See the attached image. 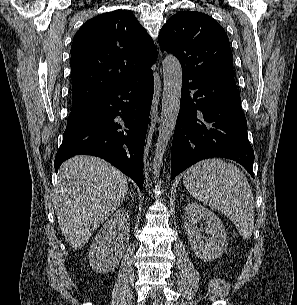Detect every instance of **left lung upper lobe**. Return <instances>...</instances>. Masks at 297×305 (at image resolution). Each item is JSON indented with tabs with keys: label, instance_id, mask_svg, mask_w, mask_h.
<instances>
[{
	"label": "left lung upper lobe",
	"instance_id": "5c2ea615",
	"mask_svg": "<svg viewBox=\"0 0 297 305\" xmlns=\"http://www.w3.org/2000/svg\"><path fill=\"white\" fill-rule=\"evenodd\" d=\"M159 45L179 59L183 73L197 79L234 78L228 36L206 14L176 13L160 30Z\"/></svg>",
	"mask_w": 297,
	"mask_h": 305
}]
</instances>
